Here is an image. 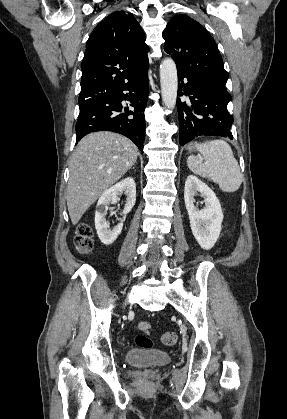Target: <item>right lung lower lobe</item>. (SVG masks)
<instances>
[{
	"instance_id": "98d812e1",
	"label": "right lung lower lobe",
	"mask_w": 287,
	"mask_h": 419,
	"mask_svg": "<svg viewBox=\"0 0 287 419\" xmlns=\"http://www.w3.org/2000/svg\"><path fill=\"white\" fill-rule=\"evenodd\" d=\"M148 87L145 73L133 83L106 93L80 109L76 123L77 142L91 132L113 131L131 139L143 152ZM123 100L130 101L133 110L125 108L123 112Z\"/></svg>"
}]
</instances>
